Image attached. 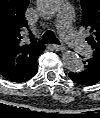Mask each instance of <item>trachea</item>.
Instances as JSON below:
<instances>
[{"mask_svg":"<svg viewBox=\"0 0 100 118\" xmlns=\"http://www.w3.org/2000/svg\"><path fill=\"white\" fill-rule=\"evenodd\" d=\"M40 43H42V44H46V43L60 44V41L54 36V33L52 31H47L42 36Z\"/></svg>","mask_w":100,"mask_h":118,"instance_id":"trachea-1","label":"trachea"}]
</instances>
